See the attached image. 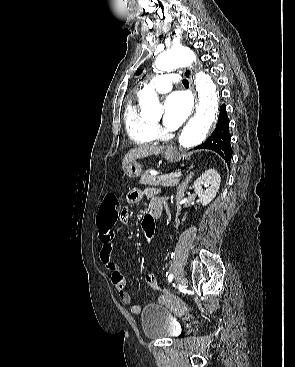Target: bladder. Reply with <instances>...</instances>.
Masks as SVG:
<instances>
[{"instance_id":"obj_1","label":"bladder","mask_w":295,"mask_h":367,"mask_svg":"<svg viewBox=\"0 0 295 367\" xmlns=\"http://www.w3.org/2000/svg\"><path fill=\"white\" fill-rule=\"evenodd\" d=\"M140 315L142 331L148 339L175 338L180 334L178 322L159 304L146 305Z\"/></svg>"}]
</instances>
